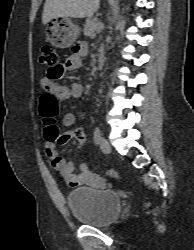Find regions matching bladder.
Listing matches in <instances>:
<instances>
[{
    "mask_svg": "<svg viewBox=\"0 0 194 250\" xmlns=\"http://www.w3.org/2000/svg\"><path fill=\"white\" fill-rule=\"evenodd\" d=\"M66 201L78 223L95 227H105L112 223L122 208V200L117 192L92 187L71 190Z\"/></svg>",
    "mask_w": 194,
    "mask_h": 250,
    "instance_id": "bladder-1",
    "label": "bladder"
}]
</instances>
